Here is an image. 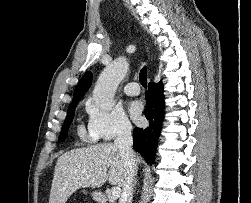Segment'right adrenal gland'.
Here are the masks:
<instances>
[{
  "label": "right adrenal gland",
  "instance_id": "2a0ac1e0",
  "mask_svg": "<svg viewBox=\"0 0 251 203\" xmlns=\"http://www.w3.org/2000/svg\"><path fill=\"white\" fill-rule=\"evenodd\" d=\"M136 183H137V180L135 179V181H134V187H135Z\"/></svg>",
  "mask_w": 251,
  "mask_h": 203
}]
</instances>
